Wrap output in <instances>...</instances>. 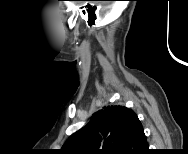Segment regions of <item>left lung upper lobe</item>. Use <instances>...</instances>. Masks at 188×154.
I'll return each instance as SVG.
<instances>
[{"mask_svg": "<svg viewBox=\"0 0 188 154\" xmlns=\"http://www.w3.org/2000/svg\"><path fill=\"white\" fill-rule=\"evenodd\" d=\"M134 114L124 106L103 107L93 114L89 123L72 134L61 149L67 154L121 153Z\"/></svg>", "mask_w": 188, "mask_h": 154, "instance_id": "obj_1", "label": "left lung upper lobe"}]
</instances>
